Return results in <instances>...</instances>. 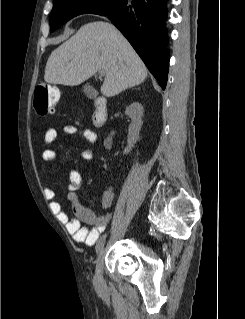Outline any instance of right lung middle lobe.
<instances>
[{"label": "right lung middle lobe", "mask_w": 245, "mask_h": 319, "mask_svg": "<svg viewBox=\"0 0 245 319\" xmlns=\"http://www.w3.org/2000/svg\"><path fill=\"white\" fill-rule=\"evenodd\" d=\"M123 0H54L50 14V31L53 32L71 18L94 13L106 16L116 9Z\"/></svg>", "instance_id": "right-lung-middle-lobe-1"}]
</instances>
